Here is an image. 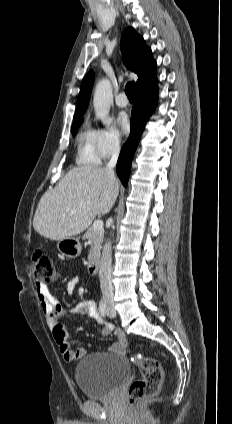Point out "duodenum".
Here are the masks:
<instances>
[{
  "label": "duodenum",
  "instance_id": "1",
  "mask_svg": "<svg viewBox=\"0 0 232 424\" xmlns=\"http://www.w3.org/2000/svg\"><path fill=\"white\" fill-rule=\"evenodd\" d=\"M99 268V259L97 256H94L88 264V273L89 274H95L97 273Z\"/></svg>",
  "mask_w": 232,
  "mask_h": 424
}]
</instances>
